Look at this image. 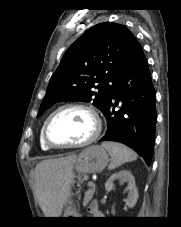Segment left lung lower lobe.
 <instances>
[{"label":"left lung lower lobe","instance_id":"left-lung-lower-lobe-1","mask_svg":"<svg viewBox=\"0 0 181 227\" xmlns=\"http://www.w3.org/2000/svg\"><path fill=\"white\" fill-rule=\"evenodd\" d=\"M156 94L141 45L114 88L104 112L108 128L101 141H116L135 150L150 165L155 145ZM120 104V110L115 107Z\"/></svg>","mask_w":181,"mask_h":227}]
</instances>
